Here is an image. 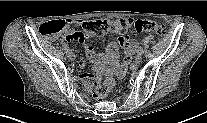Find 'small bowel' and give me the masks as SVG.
<instances>
[{
	"label": "small bowel",
	"mask_w": 207,
	"mask_h": 123,
	"mask_svg": "<svg viewBox=\"0 0 207 123\" xmlns=\"http://www.w3.org/2000/svg\"><path fill=\"white\" fill-rule=\"evenodd\" d=\"M64 22V21H63ZM118 20L113 21V25L110 28V32L120 33L122 32L121 27L117 24ZM62 34L65 38L70 42H78L80 43L87 56L91 59H99L101 61L106 60L110 66L116 70L119 75H123L126 71L127 66L129 65L132 55L134 54L137 43L133 39L124 38L123 43L121 46L124 50V60L121 66L117 65L118 61V45L115 42H109L106 47V56L104 57L102 54L97 53L94 48L85 42L86 36L85 35H77V33L73 32L70 28L69 22H64V27L62 29ZM80 67L86 66V61L81 60L79 62Z\"/></svg>",
	"instance_id": "small-bowel-1"
}]
</instances>
